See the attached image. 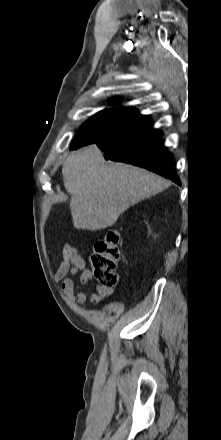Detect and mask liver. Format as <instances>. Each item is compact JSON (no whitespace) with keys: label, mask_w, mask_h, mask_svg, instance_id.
I'll list each match as a JSON object with an SVG mask.
<instances>
[{"label":"liver","mask_w":221,"mask_h":440,"mask_svg":"<svg viewBox=\"0 0 221 440\" xmlns=\"http://www.w3.org/2000/svg\"><path fill=\"white\" fill-rule=\"evenodd\" d=\"M77 229L113 226L130 206L169 187L166 179L124 163L106 162L96 145L70 155L62 166Z\"/></svg>","instance_id":"1"}]
</instances>
